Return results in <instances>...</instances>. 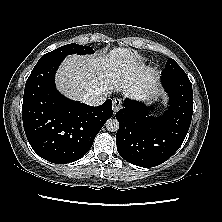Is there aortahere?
<instances>
[{"label": "aorta", "mask_w": 222, "mask_h": 222, "mask_svg": "<svg viewBox=\"0 0 222 222\" xmlns=\"http://www.w3.org/2000/svg\"><path fill=\"white\" fill-rule=\"evenodd\" d=\"M106 129L111 132H116L119 129V122L115 118H110L106 121Z\"/></svg>", "instance_id": "1"}]
</instances>
